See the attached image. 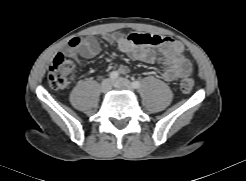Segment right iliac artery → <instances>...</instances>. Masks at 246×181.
I'll return each instance as SVG.
<instances>
[{
	"label": "right iliac artery",
	"mask_w": 246,
	"mask_h": 181,
	"mask_svg": "<svg viewBox=\"0 0 246 181\" xmlns=\"http://www.w3.org/2000/svg\"><path fill=\"white\" fill-rule=\"evenodd\" d=\"M119 77V74H118V72H116V71H112L110 74H109V78L111 79V80H115V79H117Z\"/></svg>",
	"instance_id": "right-iliac-artery-1"
}]
</instances>
